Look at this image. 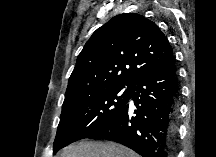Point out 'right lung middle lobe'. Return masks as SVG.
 I'll return each mask as SVG.
<instances>
[{"instance_id":"1","label":"right lung middle lobe","mask_w":216,"mask_h":157,"mask_svg":"<svg viewBox=\"0 0 216 157\" xmlns=\"http://www.w3.org/2000/svg\"><path fill=\"white\" fill-rule=\"evenodd\" d=\"M131 85L88 91L62 106L53 151L88 138L108 124L126 105Z\"/></svg>"}]
</instances>
